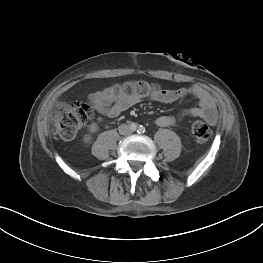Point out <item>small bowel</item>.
I'll use <instances>...</instances> for the list:
<instances>
[{"instance_id": "1", "label": "small bowel", "mask_w": 263, "mask_h": 263, "mask_svg": "<svg viewBox=\"0 0 263 263\" xmlns=\"http://www.w3.org/2000/svg\"><path fill=\"white\" fill-rule=\"evenodd\" d=\"M192 95L198 100V106L183 110L178 115H161L155 123L160 127H168L176 124L181 117L202 118L209 124L217 121L216 104L210 93L202 86L194 84L178 89H163L153 94V100L161 103H173L185 96ZM94 108L107 117H117L122 112L139 102L140 98L127 95H113L109 90L95 92L89 96Z\"/></svg>"}]
</instances>
